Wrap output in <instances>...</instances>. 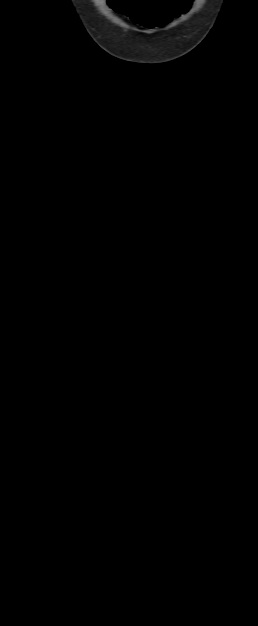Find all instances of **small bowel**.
I'll return each mask as SVG.
<instances>
[{"instance_id":"1","label":"small bowel","mask_w":258,"mask_h":626,"mask_svg":"<svg viewBox=\"0 0 258 626\" xmlns=\"http://www.w3.org/2000/svg\"><path fill=\"white\" fill-rule=\"evenodd\" d=\"M190 5V0H186L183 2H180L168 15V17H166L164 20H162L159 24H164L166 23L169 18L173 17V16H177L179 13L184 12L187 10V8ZM114 9H118L116 7H114Z\"/></svg>"}]
</instances>
